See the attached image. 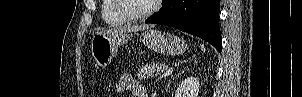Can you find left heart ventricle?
I'll use <instances>...</instances> for the list:
<instances>
[{
    "instance_id": "left-heart-ventricle-1",
    "label": "left heart ventricle",
    "mask_w": 302,
    "mask_h": 97,
    "mask_svg": "<svg viewBox=\"0 0 302 97\" xmlns=\"http://www.w3.org/2000/svg\"><path fill=\"white\" fill-rule=\"evenodd\" d=\"M123 4L129 12L140 14L150 7L152 0H123Z\"/></svg>"
}]
</instances>
